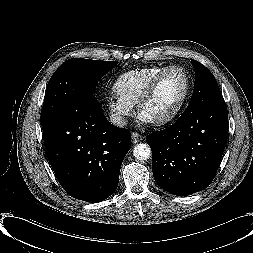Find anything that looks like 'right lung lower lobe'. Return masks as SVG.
<instances>
[{"label":"right lung lower lobe","mask_w":253,"mask_h":253,"mask_svg":"<svg viewBox=\"0 0 253 253\" xmlns=\"http://www.w3.org/2000/svg\"><path fill=\"white\" fill-rule=\"evenodd\" d=\"M42 130L46 155L70 196L100 202L117 189L131 136L107 121L93 94L67 106Z\"/></svg>","instance_id":"right-lung-lower-lobe-1"}]
</instances>
